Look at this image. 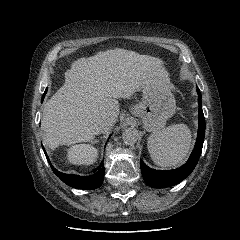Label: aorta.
<instances>
[{"mask_svg":"<svg viewBox=\"0 0 240 240\" xmlns=\"http://www.w3.org/2000/svg\"><path fill=\"white\" fill-rule=\"evenodd\" d=\"M139 137L138 130L133 127L126 128L122 133V140L126 145H133Z\"/></svg>","mask_w":240,"mask_h":240,"instance_id":"762f6f07","label":"aorta"}]
</instances>
